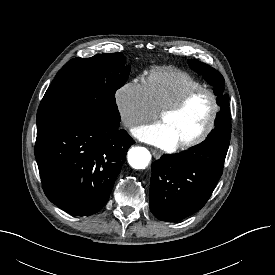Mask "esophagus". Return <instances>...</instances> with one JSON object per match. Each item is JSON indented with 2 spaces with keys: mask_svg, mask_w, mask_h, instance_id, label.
Returning <instances> with one entry per match:
<instances>
[{
  "mask_svg": "<svg viewBox=\"0 0 275 275\" xmlns=\"http://www.w3.org/2000/svg\"><path fill=\"white\" fill-rule=\"evenodd\" d=\"M151 152L156 159H159L161 157V153L158 150L151 149Z\"/></svg>",
  "mask_w": 275,
  "mask_h": 275,
  "instance_id": "obj_1",
  "label": "esophagus"
}]
</instances>
